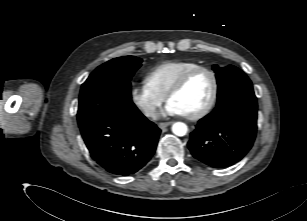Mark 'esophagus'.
<instances>
[{
    "label": "esophagus",
    "instance_id": "34e87169",
    "mask_svg": "<svg viewBox=\"0 0 307 221\" xmlns=\"http://www.w3.org/2000/svg\"><path fill=\"white\" fill-rule=\"evenodd\" d=\"M173 122H161L158 124L159 128L164 129L168 126H170Z\"/></svg>",
    "mask_w": 307,
    "mask_h": 221
}]
</instances>
